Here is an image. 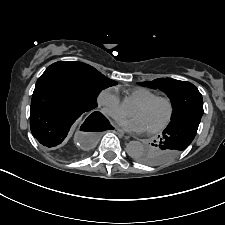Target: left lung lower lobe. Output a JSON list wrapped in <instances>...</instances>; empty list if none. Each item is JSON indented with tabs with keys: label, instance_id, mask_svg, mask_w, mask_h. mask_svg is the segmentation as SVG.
<instances>
[{
	"label": "left lung lower lobe",
	"instance_id": "1",
	"mask_svg": "<svg viewBox=\"0 0 225 225\" xmlns=\"http://www.w3.org/2000/svg\"><path fill=\"white\" fill-rule=\"evenodd\" d=\"M201 116H190L167 126L156 141L161 152L151 154V165H161L171 161L193 141Z\"/></svg>",
	"mask_w": 225,
	"mask_h": 225
}]
</instances>
